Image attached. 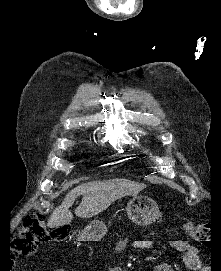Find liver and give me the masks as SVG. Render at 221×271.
<instances>
[{"mask_svg": "<svg viewBox=\"0 0 221 271\" xmlns=\"http://www.w3.org/2000/svg\"><path fill=\"white\" fill-rule=\"evenodd\" d=\"M123 187V183H118V181H88V183L77 185L64 197L63 203L55 207L48 221L49 227H58V225H65V223L72 221L73 213L69 207L78 193H82L83 199L75 209L76 215L78 217H94L103 209H107L113 201L126 195L127 191Z\"/></svg>", "mask_w": 221, "mask_h": 271, "instance_id": "6515ba94", "label": "liver"}]
</instances>
